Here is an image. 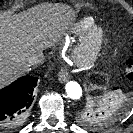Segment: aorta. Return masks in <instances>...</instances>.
I'll list each match as a JSON object with an SVG mask.
<instances>
[{"instance_id":"1","label":"aorta","mask_w":133,"mask_h":133,"mask_svg":"<svg viewBox=\"0 0 133 133\" xmlns=\"http://www.w3.org/2000/svg\"><path fill=\"white\" fill-rule=\"evenodd\" d=\"M67 96L72 100H79L82 97V88L76 81H69L65 85Z\"/></svg>"}]
</instances>
